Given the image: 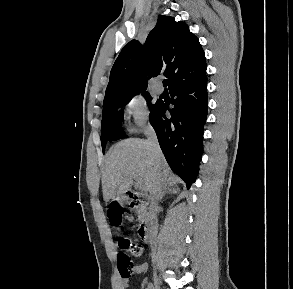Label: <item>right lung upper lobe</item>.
I'll return each instance as SVG.
<instances>
[{
	"label": "right lung upper lobe",
	"instance_id": "obj_1",
	"mask_svg": "<svg viewBox=\"0 0 293 289\" xmlns=\"http://www.w3.org/2000/svg\"><path fill=\"white\" fill-rule=\"evenodd\" d=\"M206 60L198 38L184 22L160 15L144 46L130 41L120 52L106 89L104 103L121 96L145 93L147 75L163 73L169 79V90L205 76Z\"/></svg>",
	"mask_w": 293,
	"mask_h": 289
}]
</instances>
